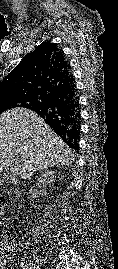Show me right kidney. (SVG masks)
Wrapping results in <instances>:
<instances>
[{
    "mask_svg": "<svg viewBox=\"0 0 118 269\" xmlns=\"http://www.w3.org/2000/svg\"><path fill=\"white\" fill-rule=\"evenodd\" d=\"M56 173L54 171H47L43 173L37 180V185L41 188H46L48 185L53 183L56 179Z\"/></svg>",
    "mask_w": 118,
    "mask_h": 269,
    "instance_id": "obj_1",
    "label": "right kidney"
}]
</instances>
